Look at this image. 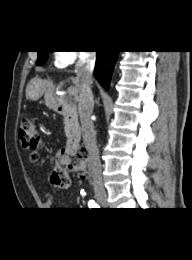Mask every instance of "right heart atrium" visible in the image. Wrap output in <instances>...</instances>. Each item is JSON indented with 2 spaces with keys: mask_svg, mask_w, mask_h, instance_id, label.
<instances>
[{
  "mask_svg": "<svg viewBox=\"0 0 192 260\" xmlns=\"http://www.w3.org/2000/svg\"><path fill=\"white\" fill-rule=\"evenodd\" d=\"M84 57L83 53L76 51H59L55 55V63L60 67H68Z\"/></svg>",
  "mask_w": 192,
  "mask_h": 260,
  "instance_id": "1",
  "label": "right heart atrium"
}]
</instances>
